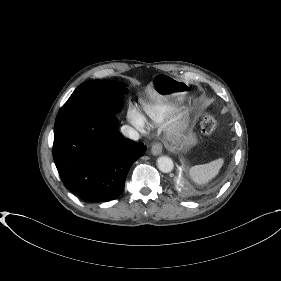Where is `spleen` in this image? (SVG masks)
Returning a JSON list of instances; mask_svg holds the SVG:
<instances>
[{
	"label": "spleen",
	"mask_w": 281,
	"mask_h": 281,
	"mask_svg": "<svg viewBox=\"0 0 281 281\" xmlns=\"http://www.w3.org/2000/svg\"><path fill=\"white\" fill-rule=\"evenodd\" d=\"M224 160L219 158L207 164L195 165L190 168L191 179L198 185H204L214 178L223 165Z\"/></svg>",
	"instance_id": "1"
}]
</instances>
